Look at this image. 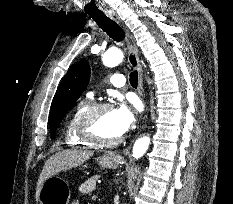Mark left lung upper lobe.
<instances>
[{"instance_id": "1", "label": "left lung upper lobe", "mask_w": 233, "mask_h": 204, "mask_svg": "<svg viewBox=\"0 0 233 204\" xmlns=\"http://www.w3.org/2000/svg\"><path fill=\"white\" fill-rule=\"evenodd\" d=\"M89 78L90 67L88 62L85 60H82L72 66L63 78L55 93L50 110L49 127L51 131V138H54L56 129L63 117L86 89Z\"/></svg>"}]
</instances>
